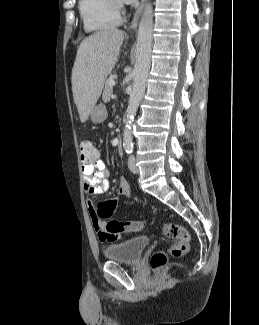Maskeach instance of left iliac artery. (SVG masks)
<instances>
[{
	"mask_svg": "<svg viewBox=\"0 0 259 325\" xmlns=\"http://www.w3.org/2000/svg\"><path fill=\"white\" fill-rule=\"evenodd\" d=\"M124 149H125L126 153H128V154L132 153V151H133V144H132L131 140H127L124 143Z\"/></svg>",
	"mask_w": 259,
	"mask_h": 325,
	"instance_id": "1",
	"label": "left iliac artery"
}]
</instances>
